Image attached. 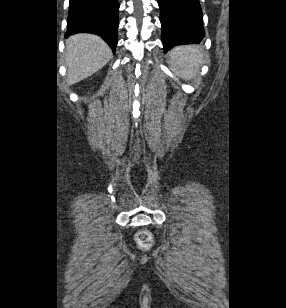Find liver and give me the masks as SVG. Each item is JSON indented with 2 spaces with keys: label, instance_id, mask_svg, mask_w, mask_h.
<instances>
[{
  "label": "liver",
  "instance_id": "1",
  "mask_svg": "<svg viewBox=\"0 0 286 308\" xmlns=\"http://www.w3.org/2000/svg\"><path fill=\"white\" fill-rule=\"evenodd\" d=\"M65 57L67 82L74 84L104 67L112 58V52L100 37L76 34L66 40Z\"/></svg>",
  "mask_w": 286,
  "mask_h": 308
}]
</instances>
